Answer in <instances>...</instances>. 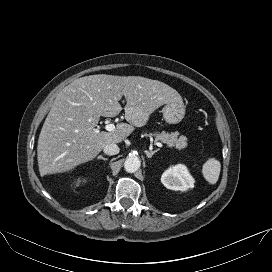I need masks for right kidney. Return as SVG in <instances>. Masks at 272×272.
<instances>
[{"instance_id":"right-kidney-1","label":"right kidney","mask_w":272,"mask_h":272,"mask_svg":"<svg viewBox=\"0 0 272 272\" xmlns=\"http://www.w3.org/2000/svg\"><path fill=\"white\" fill-rule=\"evenodd\" d=\"M81 182H85V180L78 179L77 180V185H79Z\"/></svg>"}]
</instances>
